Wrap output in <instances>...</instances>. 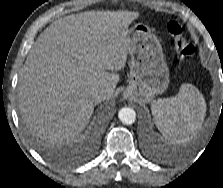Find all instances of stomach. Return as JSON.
Wrapping results in <instances>:
<instances>
[{"label": "stomach", "mask_w": 223, "mask_h": 188, "mask_svg": "<svg viewBox=\"0 0 223 188\" xmlns=\"http://www.w3.org/2000/svg\"><path fill=\"white\" fill-rule=\"evenodd\" d=\"M128 53L130 54V82L124 97L150 102L162 94L169 84V69L162 46L155 34L142 23L128 30Z\"/></svg>", "instance_id": "obj_1"}]
</instances>
